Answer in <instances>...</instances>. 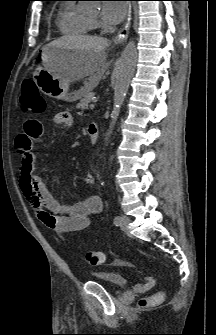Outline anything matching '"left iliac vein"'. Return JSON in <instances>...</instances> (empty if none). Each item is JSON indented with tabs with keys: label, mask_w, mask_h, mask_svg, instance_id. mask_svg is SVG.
<instances>
[{
	"label": "left iliac vein",
	"mask_w": 216,
	"mask_h": 335,
	"mask_svg": "<svg viewBox=\"0 0 216 335\" xmlns=\"http://www.w3.org/2000/svg\"><path fill=\"white\" fill-rule=\"evenodd\" d=\"M129 222H130V218L128 216L123 215L121 217V221L119 223V226L124 230V229L127 228Z\"/></svg>",
	"instance_id": "obj_1"
}]
</instances>
